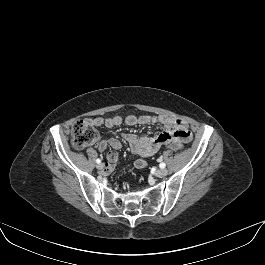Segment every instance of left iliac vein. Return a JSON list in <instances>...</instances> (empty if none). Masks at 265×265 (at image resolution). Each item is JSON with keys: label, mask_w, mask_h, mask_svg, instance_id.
Listing matches in <instances>:
<instances>
[{"label": "left iliac vein", "mask_w": 265, "mask_h": 265, "mask_svg": "<svg viewBox=\"0 0 265 265\" xmlns=\"http://www.w3.org/2000/svg\"><path fill=\"white\" fill-rule=\"evenodd\" d=\"M167 173H168V171H167L166 169L161 168V169H158V170L155 172V176L161 178V177L166 176Z\"/></svg>", "instance_id": "1"}]
</instances>
